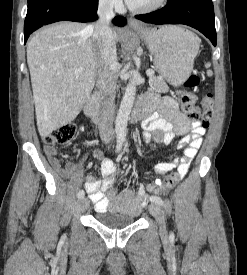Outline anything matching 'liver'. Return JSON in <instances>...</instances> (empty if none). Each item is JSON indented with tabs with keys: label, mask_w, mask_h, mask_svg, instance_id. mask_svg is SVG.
Masks as SVG:
<instances>
[{
	"label": "liver",
	"mask_w": 247,
	"mask_h": 275,
	"mask_svg": "<svg viewBox=\"0 0 247 275\" xmlns=\"http://www.w3.org/2000/svg\"><path fill=\"white\" fill-rule=\"evenodd\" d=\"M87 25L60 22L36 33L27 46L37 127L41 137L73 121L96 81L97 54ZM115 45L121 33L113 31ZM80 68V72L74 69Z\"/></svg>",
	"instance_id": "liver-1"
}]
</instances>
